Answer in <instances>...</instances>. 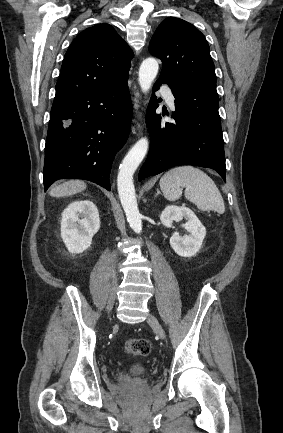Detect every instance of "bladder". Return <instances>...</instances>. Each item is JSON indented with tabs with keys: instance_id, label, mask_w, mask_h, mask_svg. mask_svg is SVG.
Returning a JSON list of instances; mask_svg holds the SVG:
<instances>
[{
	"instance_id": "31cf9c89",
	"label": "bladder",
	"mask_w": 283,
	"mask_h": 433,
	"mask_svg": "<svg viewBox=\"0 0 283 433\" xmlns=\"http://www.w3.org/2000/svg\"><path fill=\"white\" fill-rule=\"evenodd\" d=\"M147 366L145 364H136L135 373L144 374L146 372Z\"/></svg>"
}]
</instances>
